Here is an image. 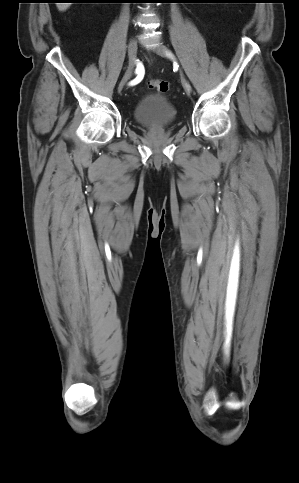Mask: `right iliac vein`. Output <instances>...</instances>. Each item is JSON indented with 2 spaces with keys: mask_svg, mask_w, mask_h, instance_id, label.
<instances>
[{
  "mask_svg": "<svg viewBox=\"0 0 299 483\" xmlns=\"http://www.w3.org/2000/svg\"><path fill=\"white\" fill-rule=\"evenodd\" d=\"M128 54H129V67H128L127 71L125 72V74H124V76H123V78H122V80L119 84V87H118L119 92L122 91L124 85L130 79L131 74H132V70L135 66V61H136V56H137V42L135 41V39H131L129 41Z\"/></svg>",
  "mask_w": 299,
  "mask_h": 483,
  "instance_id": "63e3f726",
  "label": "right iliac vein"
}]
</instances>
